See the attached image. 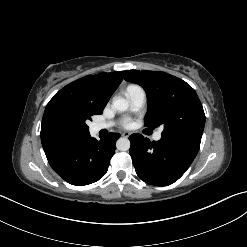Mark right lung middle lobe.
<instances>
[{
	"label": "right lung middle lobe",
	"mask_w": 247,
	"mask_h": 247,
	"mask_svg": "<svg viewBox=\"0 0 247 247\" xmlns=\"http://www.w3.org/2000/svg\"><path fill=\"white\" fill-rule=\"evenodd\" d=\"M94 115L85 109H66L58 116V124L68 132L88 131L86 122Z\"/></svg>",
	"instance_id": "right-lung-middle-lobe-1"
}]
</instances>
